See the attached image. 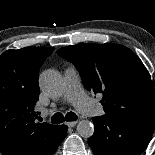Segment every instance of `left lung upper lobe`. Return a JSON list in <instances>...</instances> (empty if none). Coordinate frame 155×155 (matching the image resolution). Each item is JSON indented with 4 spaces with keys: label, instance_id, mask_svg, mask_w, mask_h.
Returning <instances> with one entry per match:
<instances>
[{
    "label": "left lung upper lobe",
    "instance_id": "left-lung-upper-lobe-1",
    "mask_svg": "<svg viewBox=\"0 0 155 155\" xmlns=\"http://www.w3.org/2000/svg\"><path fill=\"white\" fill-rule=\"evenodd\" d=\"M57 53L72 62L84 86L103 95L110 117H155V91L146 67L130 49L119 44H79Z\"/></svg>",
    "mask_w": 155,
    "mask_h": 155
}]
</instances>
